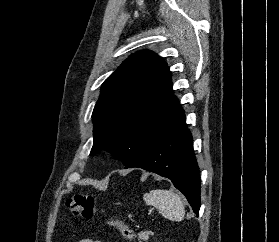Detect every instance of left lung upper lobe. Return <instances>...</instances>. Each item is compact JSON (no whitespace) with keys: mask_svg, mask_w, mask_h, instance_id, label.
Wrapping results in <instances>:
<instances>
[{"mask_svg":"<svg viewBox=\"0 0 279 242\" xmlns=\"http://www.w3.org/2000/svg\"><path fill=\"white\" fill-rule=\"evenodd\" d=\"M173 94L171 72L157 54L127 58L102 84L93 118L90 155L104 150L128 164L144 153L183 115Z\"/></svg>","mask_w":279,"mask_h":242,"instance_id":"1","label":"left lung upper lobe"}]
</instances>
